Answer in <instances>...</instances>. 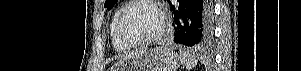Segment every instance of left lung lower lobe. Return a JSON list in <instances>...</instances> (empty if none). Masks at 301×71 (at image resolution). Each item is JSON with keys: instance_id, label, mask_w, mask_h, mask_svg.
I'll return each instance as SVG.
<instances>
[{"instance_id": "obj_1", "label": "left lung lower lobe", "mask_w": 301, "mask_h": 71, "mask_svg": "<svg viewBox=\"0 0 301 71\" xmlns=\"http://www.w3.org/2000/svg\"><path fill=\"white\" fill-rule=\"evenodd\" d=\"M179 7L170 3L174 11V41L185 46L206 47L213 38V13L210 0H177Z\"/></svg>"}]
</instances>
